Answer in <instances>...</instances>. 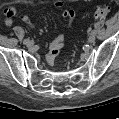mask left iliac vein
Wrapping results in <instances>:
<instances>
[{
    "mask_svg": "<svg viewBox=\"0 0 119 119\" xmlns=\"http://www.w3.org/2000/svg\"><path fill=\"white\" fill-rule=\"evenodd\" d=\"M95 40H96V37H95L94 34H91V35L89 36V38H88V42H89V43H94Z\"/></svg>",
    "mask_w": 119,
    "mask_h": 119,
    "instance_id": "4c4485c4",
    "label": "left iliac vein"
}]
</instances>
